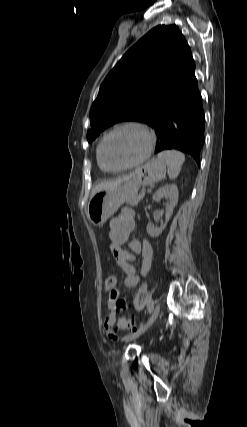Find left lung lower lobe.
<instances>
[{"label":"left lung lower lobe","instance_id":"1","mask_svg":"<svg viewBox=\"0 0 247 427\" xmlns=\"http://www.w3.org/2000/svg\"><path fill=\"white\" fill-rule=\"evenodd\" d=\"M205 118L195 75L175 90L162 105L152 127L156 129L155 153L177 149L193 157L199 165L204 144Z\"/></svg>","mask_w":247,"mask_h":427}]
</instances>
